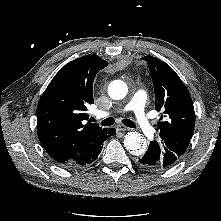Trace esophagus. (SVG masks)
Returning a JSON list of instances; mask_svg holds the SVG:
<instances>
[{
	"label": "esophagus",
	"instance_id": "obj_1",
	"mask_svg": "<svg viewBox=\"0 0 221 221\" xmlns=\"http://www.w3.org/2000/svg\"><path fill=\"white\" fill-rule=\"evenodd\" d=\"M116 129H117L118 131H129V130H130V128L125 127V126H123V125H117V126H116Z\"/></svg>",
	"mask_w": 221,
	"mask_h": 221
}]
</instances>
